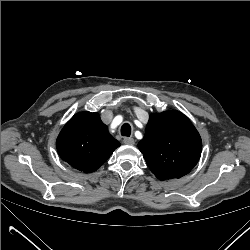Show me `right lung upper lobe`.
<instances>
[{
  "mask_svg": "<svg viewBox=\"0 0 250 250\" xmlns=\"http://www.w3.org/2000/svg\"><path fill=\"white\" fill-rule=\"evenodd\" d=\"M119 146L99 114L88 111L75 114L56 141L60 157L84 173L97 170Z\"/></svg>",
  "mask_w": 250,
  "mask_h": 250,
  "instance_id": "obj_1",
  "label": "right lung upper lobe"
}]
</instances>
